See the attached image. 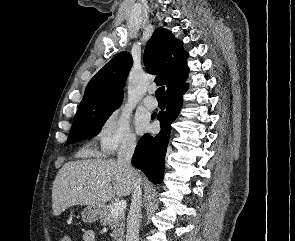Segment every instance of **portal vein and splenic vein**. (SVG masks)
<instances>
[{"instance_id":"obj_1","label":"portal vein and splenic vein","mask_w":295,"mask_h":241,"mask_svg":"<svg viewBox=\"0 0 295 241\" xmlns=\"http://www.w3.org/2000/svg\"><path fill=\"white\" fill-rule=\"evenodd\" d=\"M127 203L125 200H121L114 204V206L111 209V214L113 217H117L120 214L124 213V210L126 209Z\"/></svg>"}]
</instances>
